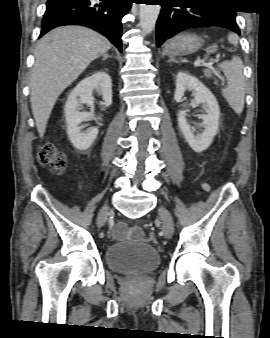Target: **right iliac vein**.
Wrapping results in <instances>:
<instances>
[{
    "instance_id": "63e3f726",
    "label": "right iliac vein",
    "mask_w": 270,
    "mask_h": 338,
    "mask_svg": "<svg viewBox=\"0 0 270 338\" xmlns=\"http://www.w3.org/2000/svg\"><path fill=\"white\" fill-rule=\"evenodd\" d=\"M109 210H110V208L108 206H104L100 210V212L98 214V219H97V223H98L99 227H101L105 223L107 215L109 214Z\"/></svg>"
}]
</instances>
